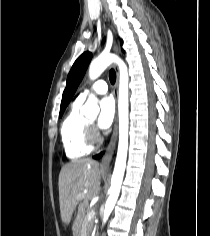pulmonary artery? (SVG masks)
<instances>
[{
  "label": "pulmonary artery",
  "instance_id": "e3ab8cb5",
  "mask_svg": "<svg viewBox=\"0 0 210 236\" xmlns=\"http://www.w3.org/2000/svg\"><path fill=\"white\" fill-rule=\"evenodd\" d=\"M108 90L107 82L104 80H98L95 82L92 86L85 89L83 92H81L78 96V100L83 102L85 101L90 95L92 94H104Z\"/></svg>",
  "mask_w": 210,
  "mask_h": 236
}]
</instances>
